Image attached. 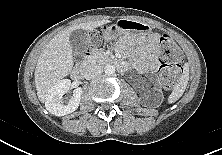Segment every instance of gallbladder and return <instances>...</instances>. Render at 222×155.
<instances>
[{"mask_svg": "<svg viewBox=\"0 0 222 155\" xmlns=\"http://www.w3.org/2000/svg\"><path fill=\"white\" fill-rule=\"evenodd\" d=\"M89 35L85 30L78 29L70 35V44L77 53H82L88 48Z\"/></svg>", "mask_w": 222, "mask_h": 155, "instance_id": "1", "label": "gallbladder"}]
</instances>
